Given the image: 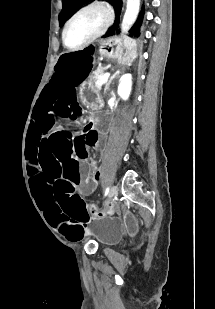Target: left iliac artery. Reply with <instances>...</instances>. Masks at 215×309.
<instances>
[{
    "instance_id": "obj_1",
    "label": "left iliac artery",
    "mask_w": 215,
    "mask_h": 309,
    "mask_svg": "<svg viewBox=\"0 0 215 309\" xmlns=\"http://www.w3.org/2000/svg\"><path fill=\"white\" fill-rule=\"evenodd\" d=\"M109 190H110V188H109V187H107V188L105 189V193H104V196H107V195H108V193H109Z\"/></svg>"
}]
</instances>
